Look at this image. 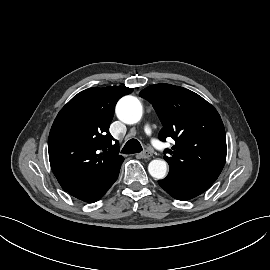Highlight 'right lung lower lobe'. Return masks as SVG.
I'll return each instance as SVG.
<instances>
[{
	"instance_id": "1",
	"label": "right lung lower lobe",
	"mask_w": 270,
	"mask_h": 270,
	"mask_svg": "<svg viewBox=\"0 0 270 270\" xmlns=\"http://www.w3.org/2000/svg\"><path fill=\"white\" fill-rule=\"evenodd\" d=\"M120 167L116 168L111 175L108 177L101 179L92 184L82 186L79 188H75L69 190L68 192L74 196L75 198L82 200L84 202H95L98 201L102 196L107 192V190L113 185V183L117 180Z\"/></svg>"
}]
</instances>
